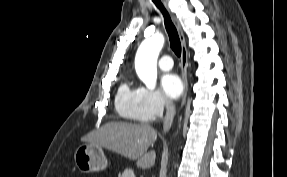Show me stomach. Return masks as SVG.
I'll return each mask as SVG.
<instances>
[{
    "label": "stomach",
    "instance_id": "0dacf381",
    "mask_svg": "<svg viewBox=\"0 0 287 177\" xmlns=\"http://www.w3.org/2000/svg\"><path fill=\"white\" fill-rule=\"evenodd\" d=\"M74 161L82 173L104 170L108 164L102 147L90 143L82 144L76 149Z\"/></svg>",
    "mask_w": 287,
    "mask_h": 177
}]
</instances>
